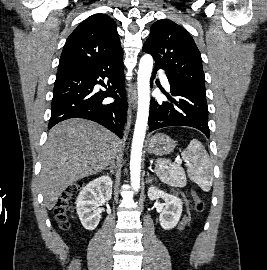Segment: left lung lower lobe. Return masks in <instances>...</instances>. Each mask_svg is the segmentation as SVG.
<instances>
[{"mask_svg":"<svg viewBox=\"0 0 267 270\" xmlns=\"http://www.w3.org/2000/svg\"><path fill=\"white\" fill-rule=\"evenodd\" d=\"M159 68H154L151 80ZM170 102L151 100L148 119L149 132L168 126H189L203 132L209 138L208 108L206 96L170 84Z\"/></svg>","mask_w":267,"mask_h":270,"instance_id":"1","label":"left lung lower lobe"}]
</instances>
